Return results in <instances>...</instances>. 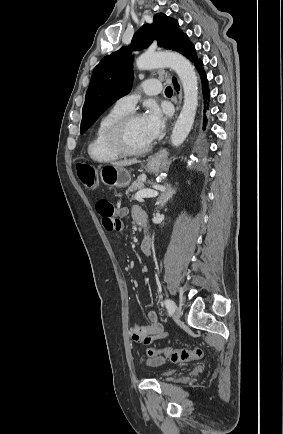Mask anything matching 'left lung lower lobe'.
Wrapping results in <instances>:
<instances>
[{"label": "left lung lower lobe", "instance_id": "0a47b994", "mask_svg": "<svg viewBox=\"0 0 283 434\" xmlns=\"http://www.w3.org/2000/svg\"><path fill=\"white\" fill-rule=\"evenodd\" d=\"M195 66H196L197 70L199 71V74H200L201 79H202V85H203V99H204V104H205V109L203 111L204 112L203 130H205L206 129V124H207V121H208V118H207L208 114L206 115V113H207V110H209V107L206 106V104L208 105V103L210 101V91L208 89V81H207L206 73L203 70V63H202V61L198 60L195 63ZM173 82H174V85H175V89L178 90L179 89V85L177 84L176 79H173Z\"/></svg>", "mask_w": 283, "mask_h": 434}]
</instances>
